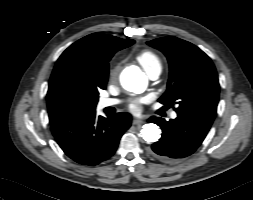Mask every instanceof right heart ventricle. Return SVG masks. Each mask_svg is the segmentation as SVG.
Wrapping results in <instances>:
<instances>
[{"label":"right heart ventricle","mask_w":253,"mask_h":200,"mask_svg":"<svg viewBox=\"0 0 253 200\" xmlns=\"http://www.w3.org/2000/svg\"><path fill=\"white\" fill-rule=\"evenodd\" d=\"M137 59L146 72L157 68L162 69L160 58L150 50L141 51L137 55Z\"/></svg>","instance_id":"right-heart-ventricle-1"}]
</instances>
